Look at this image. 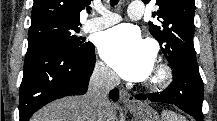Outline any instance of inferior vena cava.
Instances as JSON below:
<instances>
[{
    "instance_id": "602c4592",
    "label": "inferior vena cava",
    "mask_w": 217,
    "mask_h": 121,
    "mask_svg": "<svg viewBox=\"0 0 217 121\" xmlns=\"http://www.w3.org/2000/svg\"><path fill=\"white\" fill-rule=\"evenodd\" d=\"M118 76L105 65H96L90 78L85 98L89 105L90 121H104L107 108L112 104L108 93L119 84Z\"/></svg>"
}]
</instances>
